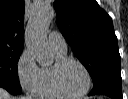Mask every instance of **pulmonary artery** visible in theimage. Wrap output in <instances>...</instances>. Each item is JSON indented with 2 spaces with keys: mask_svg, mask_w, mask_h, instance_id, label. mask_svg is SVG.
Segmentation results:
<instances>
[{
  "mask_svg": "<svg viewBox=\"0 0 128 99\" xmlns=\"http://www.w3.org/2000/svg\"><path fill=\"white\" fill-rule=\"evenodd\" d=\"M49 46L52 51L65 54L67 51V45L64 37L57 31H52L49 34Z\"/></svg>",
  "mask_w": 128,
  "mask_h": 99,
  "instance_id": "1",
  "label": "pulmonary artery"
}]
</instances>
